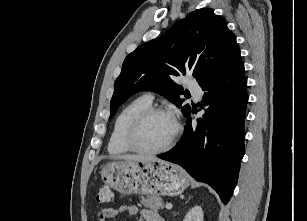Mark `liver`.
<instances>
[{
	"label": "liver",
	"instance_id": "6515ba94",
	"mask_svg": "<svg viewBox=\"0 0 307 221\" xmlns=\"http://www.w3.org/2000/svg\"><path fill=\"white\" fill-rule=\"evenodd\" d=\"M112 158L118 159V160H124V161H138V162H147V161L159 160L155 157L142 156V155H130V154L114 156Z\"/></svg>",
	"mask_w": 307,
	"mask_h": 221
}]
</instances>
